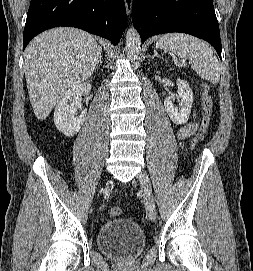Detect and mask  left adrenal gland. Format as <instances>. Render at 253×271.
<instances>
[{
    "label": "left adrenal gland",
    "mask_w": 253,
    "mask_h": 271,
    "mask_svg": "<svg viewBox=\"0 0 253 271\" xmlns=\"http://www.w3.org/2000/svg\"><path fill=\"white\" fill-rule=\"evenodd\" d=\"M154 57H161L160 55H158L157 51L154 49V55L152 56V58Z\"/></svg>",
    "instance_id": "left-adrenal-gland-1"
}]
</instances>
